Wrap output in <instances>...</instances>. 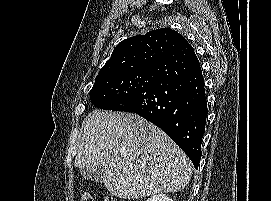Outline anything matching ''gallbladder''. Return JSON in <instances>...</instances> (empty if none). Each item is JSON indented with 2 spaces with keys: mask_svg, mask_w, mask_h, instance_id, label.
<instances>
[{
  "mask_svg": "<svg viewBox=\"0 0 271 201\" xmlns=\"http://www.w3.org/2000/svg\"><path fill=\"white\" fill-rule=\"evenodd\" d=\"M80 173L85 179L99 183H102L106 177V169L102 164L81 168Z\"/></svg>",
  "mask_w": 271,
  "mask_h": 201,
  "instance_id": "bac80fb5",
  "label": "gallbladder"
}]
</instances>
